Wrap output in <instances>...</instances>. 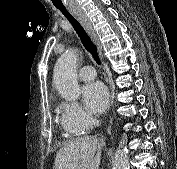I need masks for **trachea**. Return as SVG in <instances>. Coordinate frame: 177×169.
I'll return each mask as SVG.
<instances>
[{"label": "trachea", "instance_id": "trachea-1", "mask_svg": "<svg viewBox=\"0 0 177 169\" xmlns=\"http://www.w3.org/2000/svg\"><path fill=\"white\" fill-rule=\"evenodd\" d=\"M58 9L63 13V15L69 20L72 24L74 30L81 39V42L85 49L92 55L97 64H100V59L98 56L97 48L92 42L91 38L85 32L81 24L67 11L65 7H58Z\"/></svg>", "mask_w": 177, "mask_h": 169}]
</instances>
